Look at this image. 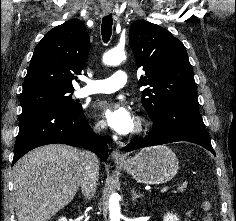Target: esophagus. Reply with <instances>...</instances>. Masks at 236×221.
<instances>
[{"label":"esophagus","instance_id":"1","mask_svg":"<svg viewBox=\"0 0 236 221\" xmlns=\"http://www.w3.org/2000/svg\"><path fill=\"white\" fill-rule=\"evenodd\" d=\"M111 11L110 10H103V14L107 15ZM111 158L113 159L114 162L116 163H121L125 161V157L120 153L119 150L114 149L111 153Z\"/></svg>","mask_w":236,"mask_h":221}]
</instances>
